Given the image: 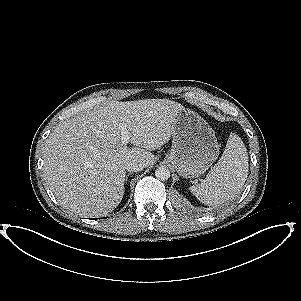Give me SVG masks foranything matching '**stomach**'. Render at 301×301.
Wrapping results in <instances>:
<instances>
[{"instance_id": "1", "label": "stomach", "mask_w": 301, "mask_h": 301, "mask_svg": "<svg viewBox=\"0 0 301 301\" xmlns=\"http://www.w3.org/2000/svg\"><path fill=\"white\" fill-rule=\"evenodd\" d=\"M172 138L167 159L184 178L204 174L219 156L220 148L213 130L191 112L178 115Z\"/></svg>"}]
</instances>
